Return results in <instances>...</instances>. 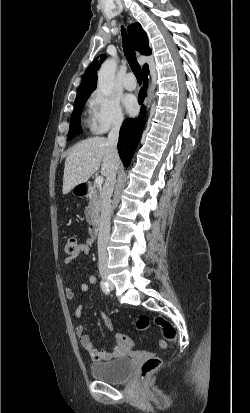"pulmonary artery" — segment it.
I'll return each instance as SVG.
<instances>
[{
  "label": "pulmonary artery",
  "instance_id": "e3ab8cb5",
  "mask_svg": "<svg viewBox=\"0 0 250 413\" xmlns=\"http://www.w3.org/2000/svg\"><path fill=\"white\" fill-rule=\"evenodd\" d=\"M123 85L127 90H134L136 88L135 77L132 73H128L124 77Z\"/></svg>",
  "mask_w": 250,
  "mask_h": 413
}]
</instances>
